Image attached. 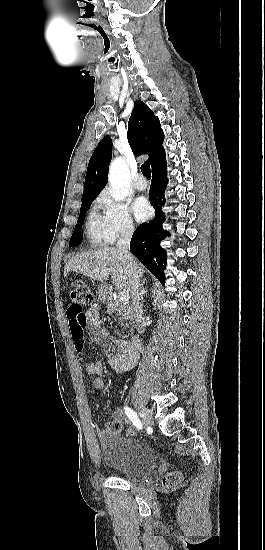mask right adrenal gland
Returning <instances> with one entry per match:
<instances>
[{"label": "right adrenal gland", "instance_id": "2a0ac1e0", "mask_svg": "<svg viewBox=\"0 0 265 550\" xmlns=\"http://www.w3.org/2000/svg\"><path fill=\"white\" fill-rule=\"evenodd\" d=\"M144 284H145V281H142V283L140 285V298H141V300H143L144 294H146L148 292V290L144 288Z\"/></svg>", "mask_w": 265, "mask_h": 550}]
</instances>
